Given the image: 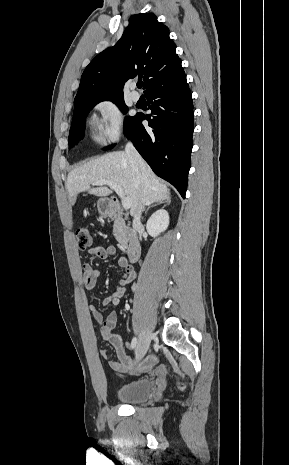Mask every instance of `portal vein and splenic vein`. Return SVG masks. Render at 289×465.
Listing matches in <instances>:
<instances>
[{"label": "portal vein and splenic vein", "instance_id": "portal-vein-and-splenic-vein-1", "mask_svg": "<svg viewBox=\"0 0 289 465\" xmlns=\"http://www.w3.org/2000/svg\"><path fill=\"white\" fill-rule=\"evenodd\" d=\"M94 185H96V186H102V185L110 186L118 194V196L121 198L122 207L125 210H127V209H129L131 207V204H132L131 199L125 196L122 188L119 185H117L116 183H114L112 181H108V180H99V181L95 182Z\"/></svg>", "mask_w": 289, "mask_h": 465}]
</instances>
